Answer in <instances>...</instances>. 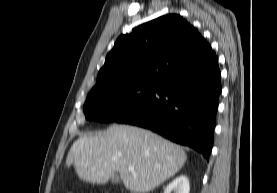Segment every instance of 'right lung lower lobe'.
Masks as SVG:
<instances>
[{"label":"right lung lower lobe","instance_id":"right-lung-lower-lobe-1","mask_svg":"<svg viewBox=\"0 0 277 193\" xmlns=\"http://www.w3.org/2000/svg\"><path fill=\"white\" fill-rule=\"evenodd\" d=\"M221 73L213 52L203 62L170 77L118 122L150 129L201 152L208 160L214 140Z\"/></svg>","mask_w":277,"mask_h":193}]
</instances>
